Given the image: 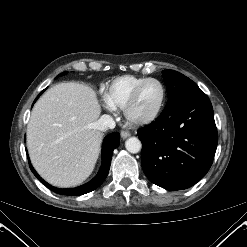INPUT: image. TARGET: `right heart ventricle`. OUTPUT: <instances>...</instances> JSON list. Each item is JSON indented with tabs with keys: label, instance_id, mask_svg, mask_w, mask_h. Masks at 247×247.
<instances>
[{
	"label": "right heart ventricle",
	"instance_id": "obj_1",
	"mask_svg": "<svg viewBox=\"0 0 247 247\" xmlns=\"http://www.w3.org/2000/svg\"><path fill=\"white\" fill-rule=\"evenodd\" d=\"M146 77L124 75L114 79L104 93L106 103L113 109H122L132 90Z\"/></svg>",
	"mask_w": 247,
	"mask_h": 247
}]
</instances>
